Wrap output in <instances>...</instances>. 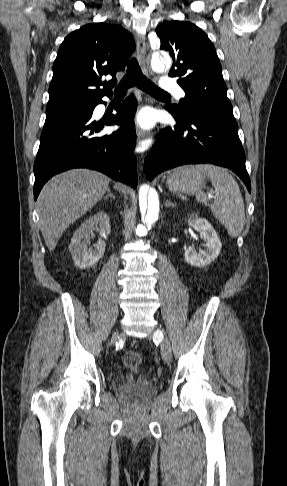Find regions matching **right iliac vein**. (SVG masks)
I'll return each mask as SVG.
<instances>
[{
	"label": "right iliac vein",
	"instance_id": "obj_1",
	"mask_svg": "<svg viewBox=\"0 0 287 486\" xmlns=\"http://www.w3.org/2000/svg\"><path fill=\"white\" fill-rule=\"evenodd\" d=\"M118 337V333L114 335L112 341L114 342L116 340V338Z\"/></svg>",
	"mask_w": 287,
	"mask_h": 486
}]
</instances>
